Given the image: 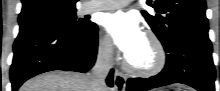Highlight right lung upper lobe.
<instances>
[{
	"label": "right lung upper lobe",
	"instance_id": "cb5924a9",
	"mask_svg": "<svg viewBox=\"0 0 220 91\" xmlns=\"http://www.w3.org/2000/svg\"><path fill=\"white\" fill-rule=\"evenodd\" d=\"M76 0H22L19 24L31 23L52 13L75 9Z\"/></svg>",
	"mask_w": 220,
	"mask_h": 91
}]
</instances>
